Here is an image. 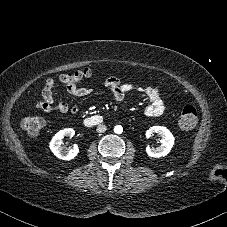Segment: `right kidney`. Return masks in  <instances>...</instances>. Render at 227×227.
I'll return each mask as SVG.
<instances>
[{"instance_id":"1","label":"right kidney","mask_w":227,"mask_h":227,"mask_svg":"<svg viewBox=\"0 0 227 227\" xmlns=\"http://www.w3.org/2000/svg\"><path fill=\"white\" fill-rule=\"evenodd\" d=\"M75 131L72 128H67L60 130L55 136L52 138L50 142V149L54 153L57 158L62 160H72L79 153V148L77 145H74L71 148H66L62 146V140L64 137H73Z\"/></svg>"}]
</instances>
